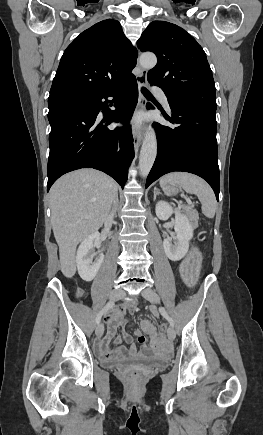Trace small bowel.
<instances>
[{
    "label": "small bowel",
    "mask_w": 263,
    "mask_h": 435,
    "mask_svg": "<svg viewBox=\"0 0 263 435\" xmlns=\"http://www.w3.org/2000/svg\"><path fill=\"white\" fill-rule=\"evenodd\" d=\"M124 315L125 310L121 309L105 318L107 332L104 337L98 339L95 343V349L98 355L105 360L128 357L138 358L147 354L149 351L153 356H160L163 353V336L156 332L149 321L142 322L144 332L149 334L152 338L149 344H147L142 331H135V335L142 347L141 352H138L130 334L124 333L122 336L115 337L117 328L126 323ZM122 339L129 344L128 347L121 346Z\"/></svg>",
    "instance_id": "c3829d8e"
}]
</instances>
